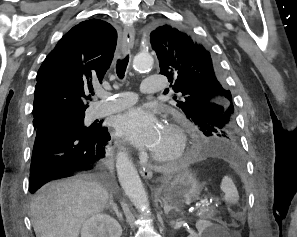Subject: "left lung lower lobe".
<instances>
[{"label":"left lung lower lobe","mask_w":297,"mask_h":237,"mask_svg":"<svg viewBox=\"0 0 297 237\" xmlns=\"http://www.w3.org/2000/svg\"><path fill=\"white\" fill-rule=\"evenodd\" d=\"M237 150L229 149L226 142L218 137H208L194 143L190 150L191 155L196 156H219L233 158L237 155Z\"/></svg>","instance_id":"left-lung-lower-lobe-1"}]
</instances>
